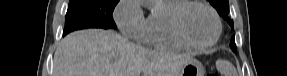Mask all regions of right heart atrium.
Returning a JSON list of instances; mask_svg holds the SVG:
<instances>
[{
  "instance_id": "obj_1",
  "label": "right heart atrium",
  "mask_w": 287,
  "mask_h": 76,
  "mask_svg": "<svg viewBox=\"0 0 287 76\" xmlns=\"http://www.w3.org/2000/svg\"><path fill=\"white\" fill-rule=\"evenodd\" d=\"M114 20L125 36L141 40L146 23L141 0H120L114 10Z\"/></svg>"
}]
</instances>
